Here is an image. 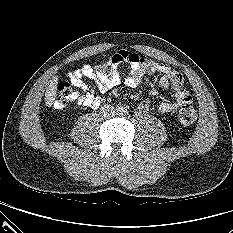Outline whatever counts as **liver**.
<instances>
[{
	"instance_id": "obj_1",
	"label": "liver",
	"mask_w": 233,
	"mask_h": 233,
	"mask_svg": "<svg viewBox=\"0 0 233 233\" xmlns=\"http://www.w3.org/2000/svg\"><path fill=\"white\" fill-rule=\"evenodd\" d=\"M57 89H58V77L55 76L45 92L44 101L46 103V106L50 107L55 101L57 95Z\"/></svg>"
}]
</instances>
